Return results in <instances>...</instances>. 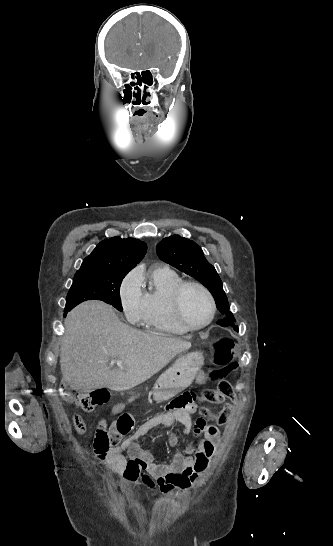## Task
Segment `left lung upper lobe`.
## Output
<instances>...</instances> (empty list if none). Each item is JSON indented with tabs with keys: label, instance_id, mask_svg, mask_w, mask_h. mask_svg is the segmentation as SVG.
Here are the masks:
<instances>
[{
	"label": "left lung upper lobe",
	"instance_id": "left-lung-upper-lobe-1",
	"mask_svg": "<svg viewBox=\"0 0 333 546\" xmlns=\"http://www.w3.org/2000/svg\"><path fill=\"white\" fill-rule=\"evenodd\" d=\"M157 255L164 262L201 282L213 295L218 310L233 320L222 281L205 258L199 245L179 235L164 238L156 247Z\"/></svg>",
	"mask_w": 333,
	"mask_h": 546
}]
</instances>
